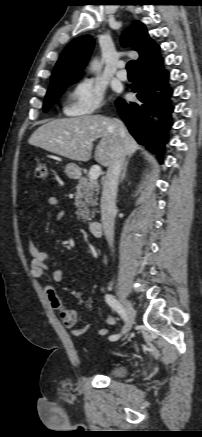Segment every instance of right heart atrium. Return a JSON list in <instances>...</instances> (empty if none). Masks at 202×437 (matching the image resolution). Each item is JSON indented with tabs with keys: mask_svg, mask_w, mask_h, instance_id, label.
<instances>
[{
	"mask_svg": "<svg viewBox=\"0 0 202 437\" xmlns=\"http://www.w3.org/2000/svg\"><path fill=\"white\" fill-rule=\"evenodd\" d=\"M104 96L102 85L90 79L81 80L68 95L66 111L71 115H92L101 109Z\"/></svg>",
	"mask_w": 202,
	"mask_h": 437,
	"instance_id": "right-heart-atrium-1",
	"label": "right heart atrium"
}]
</instances>
